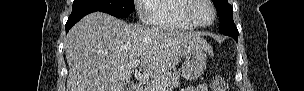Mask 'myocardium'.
<instances>
[{"mask_svg": "<svg viewBox=\"0 0 304 91\" xmlns=\"http://www.w3.org/2000/svg\"><path fill=\"white\" fill-rule=\"evenodd\" d=\"M186 1V7L184 9V14L186 16V18L196 27H201V28H206L211 26L215 19H216V9L215 6L213 5V2L211 0H185ZM201 3H205L207 4L211 10H212V20L207 23V24H203L201 22H199L196 17L194 12L196 11V9L199 7V5Z\"/></svg>", "mask_w": 304, "mask_h": 91, "instance_id": "1", "label": "myocardium"}]
</instances>
